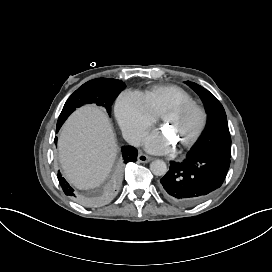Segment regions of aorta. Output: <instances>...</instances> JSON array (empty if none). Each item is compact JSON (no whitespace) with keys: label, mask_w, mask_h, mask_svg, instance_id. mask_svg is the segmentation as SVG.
Masks as SVG:
<instances>
[{"label":"aorta","mask_w":272,"mask_h":272,"mask_svg":"<svg viewBox=\"0 0 272 272\" xmlns=\"http://www.w3.org/2000/svg\"><path fill=\"white\" fill-rule=\"evenodd\" d=\"M150 170L155 176H164L167 173V166L162 160H155L150 164Z\"/></svg>","instance_id":"1"}]
</instances>
